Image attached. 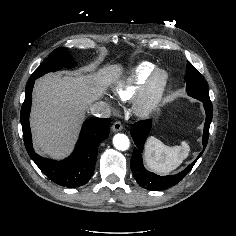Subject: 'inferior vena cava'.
Segmentation results:
<instances>
[{"mask_svg":"<svg viewBox=\"0 0 236 236\" xmlns=\"http://www.w3.org/2000/svg\"><path fill=\"white\" fill-rule=\"evenodd\" d=\"M91 113L96 117H110L111 109L107 103L98 101L92 105Z\"/></svg>","mask_w":236,"mask_h":236,"instance_id":"1","label":"inferior vena cava"}]
</instances>
